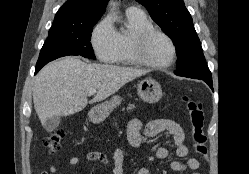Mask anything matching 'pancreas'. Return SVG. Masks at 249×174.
<instances>
[{
	"mask_svg": "<svg viewBox=\"0 0 249 174\" xmlns=\"http://www.w3.org/2000/svg\"><path fill=\"white\" fill-rule=\"evenodd\" d=\"M135 108V105L134 104H130L128 107H127V110H132Z\"/></svg>",
	"mask_w": 249,
	"mask_h": 174,
	"instance_id": "cf45deb5",
	"label": "pancreas"
}]
</instances>
